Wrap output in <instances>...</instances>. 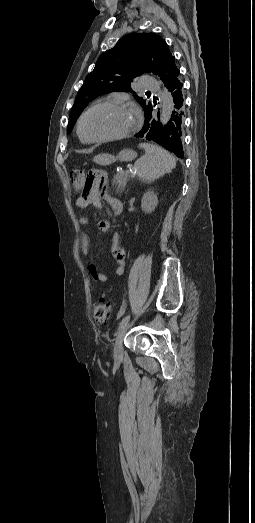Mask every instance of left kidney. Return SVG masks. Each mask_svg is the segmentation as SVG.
I'll return each mask as SVG.
<instances>
[{"label": "left kidney", "instance_id": "1", "mask_svg": "<svg viewBox=\"0 0 255 523\" xmlns=\"http://www.w3.org/2000/svg\"><path fill=\"white\" fill-rule=\"evenodd\" d=\"M157 204L158 200L156 194H154V190H148L141 200V208L143 212H145V214H151V212L155 210Z\"/></svg>", "mask_w": 255, "mask_h": 523}]
</instances>
